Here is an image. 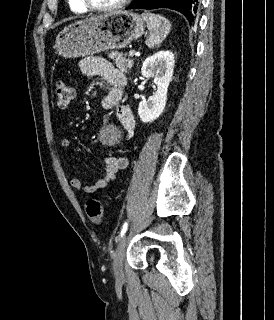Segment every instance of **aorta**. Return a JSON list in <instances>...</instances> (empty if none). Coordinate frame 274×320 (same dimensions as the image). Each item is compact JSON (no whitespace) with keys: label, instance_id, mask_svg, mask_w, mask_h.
I'll list each match as a JSON object with an SVG mask.
<instances>
[{"label":"aorta","instance_id":"762f6f07","mask_svg":"<svg viewBox=\"0 0 274 320\" xmlns=\"http://www.w3.org/2000/svg\"><path fill=\"white\" fill-rule=\"evenodd\" d=\"M117 129L114 126H109L106 131L103 132L102 138L105 142L113 144L117 139Z\"/></svg>","mask_w":274,"mask_h":320}]
</instances>
